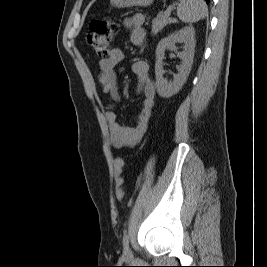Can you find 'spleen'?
<instances>
[{"mask_svg":"<svg viewBox=\"0 0 267 267\" xmlns=\"http://www.w3.org/2000/svg\"><path fill=\"white\" fill-rule=\"evenodd\" d=\"M177 16L184 23H194L208 15L204 0H179Z\"/></svg>","mask_w":267,"mask_h":267,"instance_id":"obj_1","label":"spleen"}]
</instances>
